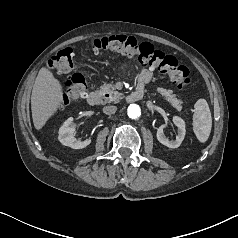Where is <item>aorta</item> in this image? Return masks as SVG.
Returning a JSON list of instances; mask_svg holds the SVG:
<instances>
[{
    "label": "aorta",
    "instance_id": "aorta-1",
    "mask_svg": "<svg viewBox=\"0 0 238 238\" xmlns=\"http://www.w3.org/2000/svg\"><path fill=\"white\" fill-rule=\"evenodd\" d=\"M127 114L130 118L135 119L141 115V108L137 104H130L127 109Z\"/></svg>",
    "mask_w": 238,
    "mask_h": 238
}]
</instances>
